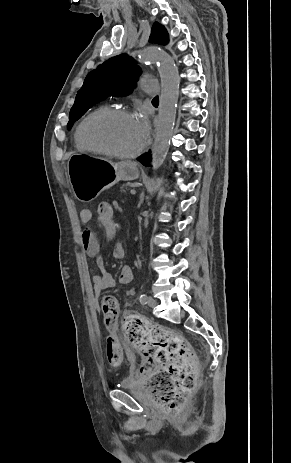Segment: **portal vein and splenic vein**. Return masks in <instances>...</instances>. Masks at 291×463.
Segmentation results:
<instances>
[{
  "instance_id": "1",
  "label": "portal vein and splenic vein",
  "mask_w": 291,
  "mask_h": 463,
  "mask_svg": "<svg viewBox=\"0 0 291 463\" xmlns=\"http://www.w3.org/2000/svg\"><path fill=\"white\" fill-rule=\"evenodd\" d=\"M130 193H131V194H135V193H136V190H135V189H131V190H130Z\"/></svg>"
}]
</instances>
